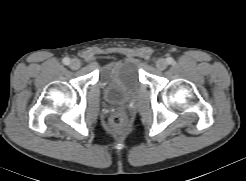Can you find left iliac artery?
I'll return each mask as SVG.
<instances>
[{
    "label": "left iliac artery",
    "mask_w": 246,
    "mask_h": 181,
    "mask_svg": "<svg viewBox=\"0 0 246 181\" xmlns=\"http://www.w3.org/2000/svg\"><path fill=\"white\" fill-rule=\"evenodd\" d=\"M166 60H167L168 64H173L174 63V59L171 58V57H168Z\"/></svg>",
    "instance_id": "1"
}]
</instances>
